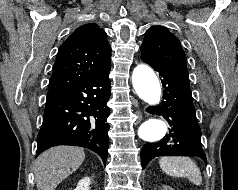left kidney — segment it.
Wrapping results in <instances>:
<instances>
[{
    "label": "left kidney",
    "mask_w": 238,
    "mask_h": 190,
    "mask_svg": "<svg viewBox=\"0 0 238 190\" xmlns=\"http://www.w3.org/2000/svg\"><path fill=\"white\" fill-rule=\"evenodd\" d=\"M166 190H167V188H166ZM169 190H173L172 188H169Z\"/></svg>",
    "instance_id": "5707ae66"
}]
</instances>
